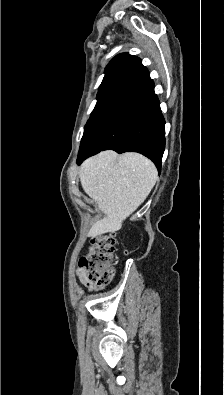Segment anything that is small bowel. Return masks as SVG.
<instances>
[{"label": "small bowel", "mask_w": 224, "mask_h": 395, "mask_svg": "<svg viewBox=\"0 0 224 395\" xmlns=\"http://www.w3.org/2000/svg\"><path fill=\"white\" fill-rule=\"evenodd\" d=\"M76 276H77L79 283L83 287H85L89 290H98V289L104 288L106 286V284H97V283L93 282L92 280H90L89 277L87 276L85 270L82 267H78L76 269Z\"/></svg>", "instance_id": "c3829d8e"}]
</instances>
